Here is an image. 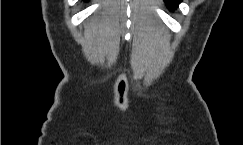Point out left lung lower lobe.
<instances>
[{
	"label": "left lung lower lobe",
	"instance_id": "0a47b994",
	"mask_svg": "<svg viewBox=\"0 0 243 145\" xmlns=\"http://www.w3.org/2000/svg\"><path fill=\"white\" fill-rule=\"evenodd\" d=\"M167 6L171 9H174L178 6L181 0H165Z\"/></svg>",
	"mask_w": 243,
	"mask_h": 145
}]
</instances>
